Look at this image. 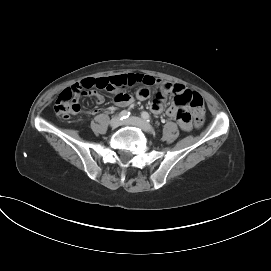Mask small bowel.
Listing matches in <instances>:
<instances>
[{
  "label": "small bowel",
  "mask_w": 271,
  "mask_h": 271,
  "mask_svg": "<svg viewBox=\"0 0 271 271\" xmlns=\"http://www.w3.org/2000/svg\"><path fill=\"white\" fill-rule=\"evenodd\" d=\"M97 80V87L100 90H108L113 94V99L118 106H129L134 102V97L128 94L125 89L134 84H141V87L136 92L138 100H145L150 95V87H156L157 92L153 101L151 102L150 109L155 114H160L164 110L165 97L168 95H175L176 97L190 93L181 84H174L157 79L153 76L141 73H125L114 75L110 77H100L97 79L88 78L80 82L90 83ZM97 104L104 101V97L96 91L90 92ZM98 110L94 109L92 113H97ZM166 114L173 119H176L180 128L183 131H190L192 129V120L189 109L183 104L176 101L166 110ZM195 114V113H194Z\"/></svg>",
  "instance_id": "obj_1"
}]
</instances>
